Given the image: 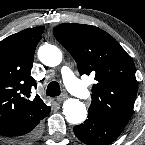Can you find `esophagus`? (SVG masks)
<instances>
[{"label":"esophagus","instance_id":"obj_1","mask_svg":"<svg viewBox=\"0 0 145 145\" xmlns=\"http://www.w3.org/2000/svg\"><path fill=\"white\" fill-rule=\"evenodd\" d=\"M66 98H67V95H66V94H62L61 96L57 97L56 100H57L58 102H62V101H64Z\"/></svg>","mask_w":145,"mask_h":145}]
</instances>
